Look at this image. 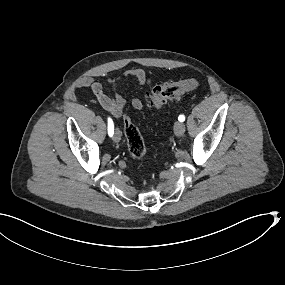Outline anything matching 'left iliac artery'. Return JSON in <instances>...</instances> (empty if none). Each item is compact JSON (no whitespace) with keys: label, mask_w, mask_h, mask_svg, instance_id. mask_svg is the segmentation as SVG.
I'll use <instances>...</instances> for the list:
<instances>
[{"label":"left iliac artery","mask_w":285,"mask_h":285,"mask_svg":"<svg viewBox=\"0 0 285 285\" xmlns=\"http://www.w3.org/2000/svg\"><path fill=\"white\" fill-rule=\"evenodd\" d=\"M178 120H179L180 122L185 121V116H184V115H180V116L178 117Z\"/></svg>","instance_id":"44dca946"}]
</instances>
